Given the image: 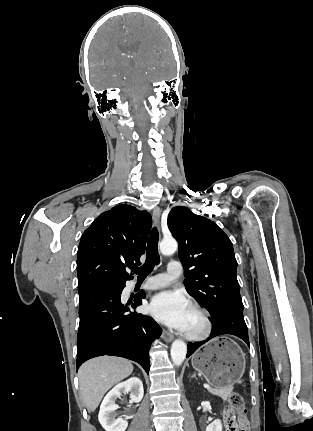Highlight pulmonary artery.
Segmentation results:
<instances>
[{
  "mask_svg": "<svg viewBox=\"0 0 313 431\" xmlns=\"http://www.w3.org/2000/svg\"><path fill=\"white\" fill-rule=\"evenodd\" d=\"M181 274V265L178 261H170L166 273L157 274L141 285L143 289L153 290L166 287Z\"/></svg>",
  "mask_w": 313,
  "mask_h": 431,
  "instance_id": "obj_1",
  "label": "pulmonary artery"
}]
</instances>
